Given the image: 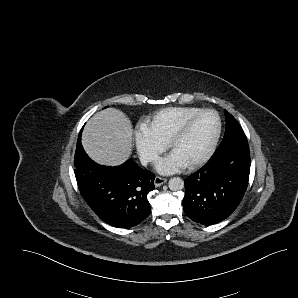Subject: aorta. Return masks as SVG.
I'll return each instance as SVG.
<instances>
[{
  "mask_svg": "<svg viewBox=\"0 0 298 298\" xmlns=\"http://www.w3.org/2000/svg\"><path fill=\"white\" fill-rule=\"evenodd\" d=\"M168 187L172 191H178L184 188V180L181 177L174 176L168 180Z\"/></svg>",
  "mask_w": 298,
  "mask_h": 298,
  "instance_id": "aorta-1",
  "label": "aorta"
}]
</instances>
